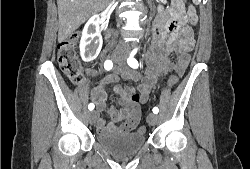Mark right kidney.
<instances>
[{
	"label": "right kidney",
	"mask_w": 250,
	"mask_h": 169,
	"mask_svg": "<svg viewBox=\"0 0 250 169\" xmlns=\"http://www.w3.org/2000/svg\"><path fill=\"white\" fill-rule=\"evenodd\" d=\"M102 36L98 14H94L86 22L80 40V54L82 60L89 62L97 58L102 48Z\"/></svg>",
	"instance_id": "obj_1"
}]
</instances>
